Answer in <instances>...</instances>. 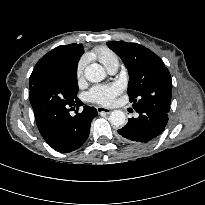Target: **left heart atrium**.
Returning a JSON list of instances; mask_svg holds the SVG:
<instances>
[{
    "label": "left heart atrium",
    "instance_id": "obj_1",
    "mask_svg": "<svg viewBox=\"0 0 205 205\" xmlns=\"http://www.w3.org/2000/svg\"><path fill=\"white\" fill-rule=\"evenodd\" d=\"M121 92L118 85H97L94 86L87 94L88 99L94 103L109 106L112 105Z\"/></svg>",
    "mask_w": 205,
    "mask_h": 205
}]
</instances>
